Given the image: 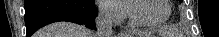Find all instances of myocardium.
Listing matches in <instances>:
<instances>
[{
  "mask_svg": "<svg viewBox=\"0 0 219 37\" xmlns=\"http://www.w3.org/2000/svg\"><path fill=\"white\" fill-rule=\"evenodd\" d=\"M138 1H143V0H130L127 2L128 16H129V19L132 25L137 26V27H159L163 25L169 19L171 12H172L171 2L169 0H162L167 9V12H166V15L162 19L156 20V21H145V20L138 19L135 16L133 12V4Z\"/></svg>",
  "mask_w": 219,
  "mask_h": 37,
  "instance_id": "1",
  "label": "myocardium"
}]
</instances>
